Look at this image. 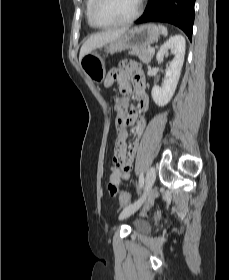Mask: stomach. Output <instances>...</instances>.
Listing matches in <instances>:
<instances>
[{"label":"stomach","instance_id":"0dacf381","mask_svg":"<svg viewBox=\"0 0 229 280\" xmlns=\"http://www.w3.org/2000/svg\"><path fill=\"white\" fill-rule=\"evenodd\" d=\"M160 33L159 27L155 24L136 26L121 37L106 43L99 50L113 54L127 49L147 48L158 40ZM80 66L92 81L98 83L104 80L106 74L105 61L97 50L85 55L80 60Z\"/></svg>","mask_w":229,"mask_h":280}]
</instances>
